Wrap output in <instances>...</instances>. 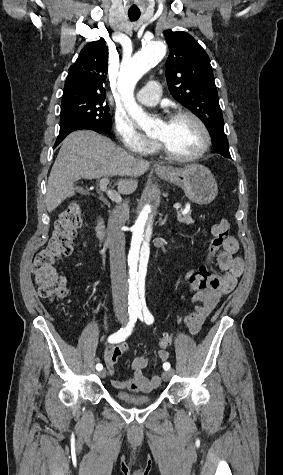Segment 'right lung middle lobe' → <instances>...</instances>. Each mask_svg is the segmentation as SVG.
<instances>
[{
	"mask_svg": "<svg viewBox=\"0 0 283 475\" xmlns=\"http://www.w3.org/2000/svg\"><path fill=\"white\" fill-rule=\"evenodd\" d=\"M106 96L90 95L62 96L60 126L69 123H83L91 128L109 132L112 126L109 106L105 105Z\"/></svg>",
	"mask_w": 283,
	"mask_h": 475,
	"instance_id": "1",
	"label": "right lung middle lobe"
}]
</instances>
